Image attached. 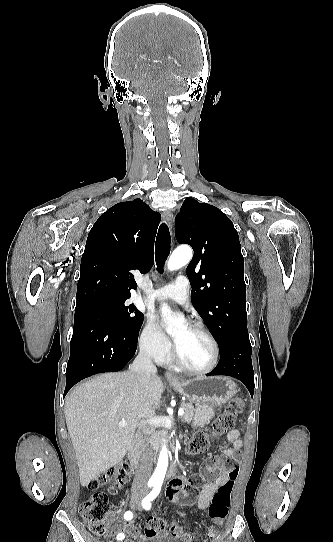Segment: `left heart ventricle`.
Here are the masks:
<instances>
[{
	"label": "left heart ventricle",
	"instance_id": "1",
	"mask_svg": "<svg viewBox=\"0 0 333 542\" xmlns=\"http://www.w3.org/2000/svg\"><path fill=\"white\" fill-rule=\"evenodd\" d=\"M172 345L179 358L188 366L203 369L213 359V348L210 341L188 326L171 335Z\"/></svg>",
	"mask_w": 333,
	"mask_h": 542
}]
</instances>
